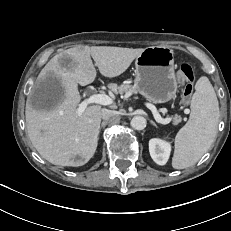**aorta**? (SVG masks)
<instances>
[{
  "instance_id": "obj_1",
  "label": "aorta",
  "mask_w": 231,
  "mask_h": 231,
  "mask_svg": "<svg viewBox=\"0 0 231 231\" xmlns=\"http://www.w3.org/2000/svg\"><path fill=\"white\" fill-rule=\"evenodd\" d=\"M130 125L136 130H143L146 127V119L143 116H134L130 121Z\"/></svg>"
}]
</instances>
